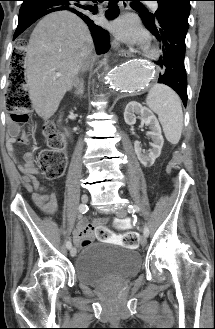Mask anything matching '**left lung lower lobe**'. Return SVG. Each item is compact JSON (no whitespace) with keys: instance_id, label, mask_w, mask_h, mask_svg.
Wrapping results in <instances>:
<instances>
[{"instance_id":"0a47b994","label":"left lung lower lobe","mask_w":215,"mask_h":329,"mask_svg":"<svg viewBox=\"0 0 215 329\" xmlns=\"http://www.w3.org/2000/svg\"><path fill=\"white\" fill-rule=\"evenodd\" d=\"M143 20V16L140 15ZM144 23V21H143ZM146 28L160 42L162 55L157 63L162 68L158 83H163L174 89L187 104V76L184 66L185 38L187 31L176 22L160 19L155 25L144 23Z\"/></svg>"}]
</instances>
